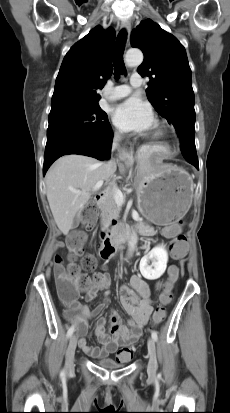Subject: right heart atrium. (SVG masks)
Listing matches in <instances>:
<instances>
[{"instance_id": "1", "label": "right heart atrium", "mask_w": 230, "mask_h": 413, "mask_svg": "<svg viewBox=\"0 0 230 413\" xmlns=\"http://www.w3.org/2000/svg\"><path fill=\"white\" fill-rule=\"evenodd\" d=\"M114 137H115L116 139L120 138V133L115 132V133H114Z\"/></svg>"}]
</instances>
